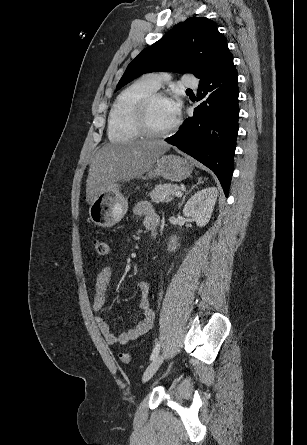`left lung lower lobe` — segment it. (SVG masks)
I'll list each match as a JSON object with an SVG mask.
<instances>
[{"label": "left lung lower lobe", "mask_w": 307, "mask_h": 445, "mask_svg": "<svg viewBox=\"0 0 307 445\" xmlns=\"http://www.w3.org/2000/svg\"><path fill=\"white\" fill-rule=\"evenodd\" d=\"M238 74L233 56L200 79L194 116L166 139L170 144L209 167L228 196L238 133Z\"/></svg>", "instance_id": "left-lung-lower-lobe-1"}]
</instances>
